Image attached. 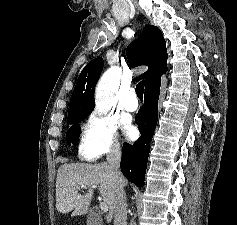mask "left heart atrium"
Segmentation results:
<instances>
[{"label": "left heart atrium", "mask_w": 237, "mask_h": 225, "mask_svg": "<svg viewBox=\"0 0 237 225\" xmlns=\"http://www.w3.org/2000/svg\"><path fill=\"white\" fill-rule=\"evenodd\" d=\"M124 130H125L126 136L129 137V138L133 137L135 132H136L135 128L130 124H127L125 126Z\"/></svg>", "instance_id": "left-heart-atrium-1"}]
</instances>
